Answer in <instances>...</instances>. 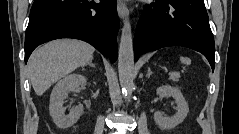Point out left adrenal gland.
Instances as JSON below:
<instances>
[{
	"mask_svg": "<svg viewBox=\"0 0 239 134\" xmlns=\"http://www.w3.org/2000/svg\"><path fill=\"white\" fill-rule=\"evenodd\" d=\"M152 74V71L150 68H148L147 74H146V78H149Z\"/></svg>",
	"mask_w": 239,
	"mask_h": 134,
	"instance_id": "obj_1",
	"label": "left adrenal gland"
}]
</instances>
